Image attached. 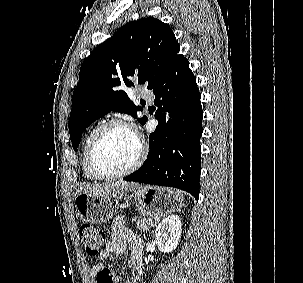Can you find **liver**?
<instances>
[{
  "instance_id": "1",
  "label": "liver",
  "mask_w": 303,
  "mask_h": 283,
  "mask_svg": "<svg viewBox=\"0 0 303 283\" xmlns=\"http://www.w3.org/2000/svg\"><path fill=\"white\" fill-rule=\"evenodd\" d=\"M139 187L138 184L127 181H114L101 184L83 183L79 185L77 194L85 193L90 196L119 195Z\"/></svg>"
}]
</instances>
